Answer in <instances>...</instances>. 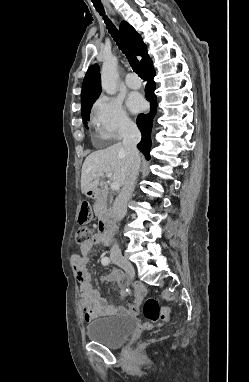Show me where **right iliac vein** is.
<instances>
[{"label":"right iliac vein","mask_w":249,"mask_h":382,"mask_svg":"<svg viewBox=\"0 0 249 382\" xmlns=\"http://www.w3.org/2000/svg\"><path fill=\"white\" fill-rule=\"evenodd\" d=\"M112 260L115 264L124 269L130 276H134V267L125 257L123 256H113Z\"/></svg>","instance_id":"right-iliac-vein-1"}]
</instances>
